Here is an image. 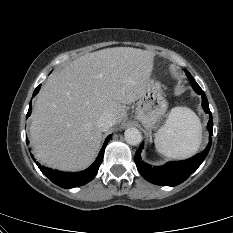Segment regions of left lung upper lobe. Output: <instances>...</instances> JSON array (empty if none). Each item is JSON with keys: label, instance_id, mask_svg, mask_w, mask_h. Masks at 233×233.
Returning a JSON list of instances; mask_svg holds the SVG:
<instances>
[{"label": "left lung upper lobe", "instance_id": "1", "mask_svg": "<svg viewBox=\"0 0 233 233\" xmlns=\"http://www.w3.org/2000/svg\"><path fill=\"white\" fill-rule=\"evenodd\" d=\"M186 74H187L188 78L190 79V81H192L193 77L191 76V74L189 72H187V71H186Z\"/></svg>", "mask_w": 233, "mask_h": 233}]
</instances>
